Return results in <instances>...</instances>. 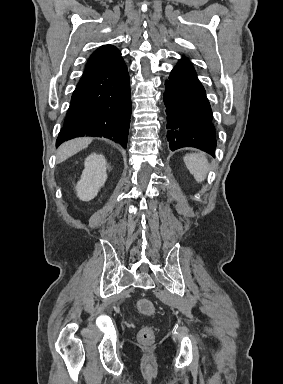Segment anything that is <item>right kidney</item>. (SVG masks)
<instances>
[{
    "mask_svg": "<svg viewBox=\"0 0 283 384\" xmlns=\"http://www.w3.org/2000/svg\"><path fill=\"white\" fill-rule=\"evenodd\" d=\"M84 166L81 180L76 186V192L79 200L89 202L97 196L100 188L104 186L107 180V162L101 154L99 156L91 154L86 158Z\"/></svg>",
    "mask_w": 283,
    "mask_h": 384,
    "instance_id": "obj_1",
    "label": "right kidney"
}]
</instances>
